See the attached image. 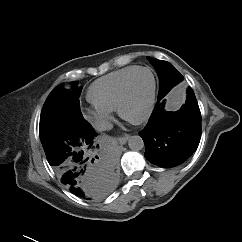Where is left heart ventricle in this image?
Wrapping results in <instances>:
<instances>
[{"mask_svg": "<svg viewBox=\"0 0 242 242\" xmlns=\"http://www.w3.org/2000/svg\"><path fill=\"white\" fill-rule=\"evenodd\" d=\"M152 84V77L147 71L138 72L134 76L124 106V112L128 117L137 118L145 111L150 98Z\"/></svg>", "mask_w": 242, "mask_h": 242, "instance_id": "1", "label": "left heart ventricle"}]
</instances>
